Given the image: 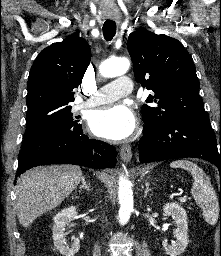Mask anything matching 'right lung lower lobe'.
I'll use <instances>...</instances> for the list:
<instances>
[{
	"label": "right lung lower lobe",
	"instance_id": "right-lung-lower-lobe-1",
	"mask_svg": "<svg viewBox=\"0 0 221 256\" xmlns=\"http://www.w3.org/2000/svg\"><path fill=\"white\" fill-rule=\"evenodd\" d=\"M116 155L114 146L83 134L79 121L52 126L23 140L16 176L32 167L47 164L113 168Z\"/></svg>",
	"mask_w": 221,
	"mask_h": 256
}]
</instances>
